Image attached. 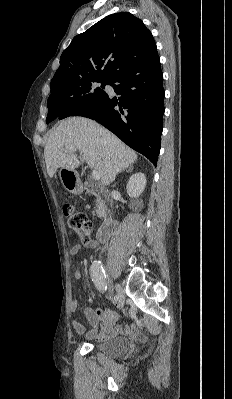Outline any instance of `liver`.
Instances as JSON below:
<instances>
[{"mask_svg":"<svg viewBox=\"0 0 232 399\" xmlns=\"http://www.w3.org/2000/svg\"><path fill=\"white\" fill-rule=\"evenodd\" d=\"M66 146L82 154L89 168L98 172L102 186L112 184L117 172L129 168L137 160L134 150L93 120L66 118L53 128L44 148L49 178H53L57 168L75 170L80 166L74 152H64Z\"/></svg>","mask_w":232,"mask_h":399,"instance_id":"obj_1","label":"liver"}]
</instances>
